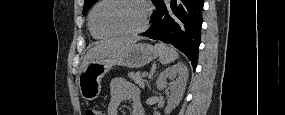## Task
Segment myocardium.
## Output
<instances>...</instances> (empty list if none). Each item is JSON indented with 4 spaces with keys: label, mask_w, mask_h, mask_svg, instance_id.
Listing matches in <instances>:
<instances>
[{
    "label": "myocardium",
    "mask_w": 285,
    "mask_h": 115,
    "mask_svg": "<svg viewBox=\"0 0 285 115\" xmlns=\"http://www.w3.org/2000/svg\"><path fill=\"white\" fill-rule=\"evenodd\" d=\"M108 1H116V0H103L100 1L91 11L90 16H89V20H90V24L92 26V28L99 34L105 35V36H110V37H130V36H136L142 32H144L146 30V28L148 27V22H149V14H150V7L147 3V1L145 0H128V1H133L138 3L141 7H142V12H143V20H142V25L133 31L130 32H118V31H112V30H108V29H103L100 26L97 25L96 20H95V16H96V12L97 10L106 2Z\"/></svg>",
    "instance_id": "f54148a6"
}]
</instances>
